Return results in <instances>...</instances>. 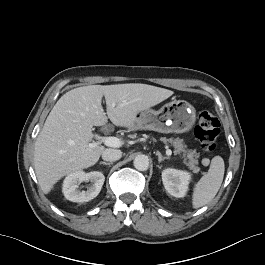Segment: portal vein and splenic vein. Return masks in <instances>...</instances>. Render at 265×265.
I'll list each match as a JSON object with an SVG mask.
<instances>
[{
    "instance_id": "1",
    "label": "portal vein and splenic vein",
    "mask_w": 265,
    "mask_h": 265,
    "mask_svg": "<svg viewBox=\"0 0 265 265\" xmlns=\"http://www.w3.org/2000/svg\"><path fill=\"white\" fill-rule=\"evenodd\" d=\"M95 137H96L97 141L90 143L89 144L90 148L98 147L102 143L108 147H114V148H119L122 146V141L117 137H112V136L101 137L99 135H95ZM166 154L171 155L172 151L170 149H167Z\"/></svg>"
}]
</instances>
